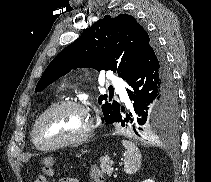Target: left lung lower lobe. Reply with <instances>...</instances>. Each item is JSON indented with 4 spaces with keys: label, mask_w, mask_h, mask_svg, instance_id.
Here are the masks:
<instances>
[{
    "label": "left lung lower lobe",
    "mask_w": 211,
    "mask_h": 182,
    "mask_svg": "<svg viewBox=\"0 0 211 182\" xmlns=\"http://www.w3.org/2000/svg\"><path fill=\"white\" fill-rule=\"evenodd\" d=\"M127 93L133 101V115L123 118L120 114L117 122L125 126L129 120L133 123L136 135L151 138L154 132L144 131L150 104H156L160 110V120L163 127L176 125L179 118L178 97L173 75L169 69L166 57L158 44L153 40L146 49L136 71L127 80ZM125 109L122 107L121 111ZM133 116V119L130 117Z\"/></svg>",
    "instance_id": "left-lung-lower-lobe-1"
}]
</instances>
